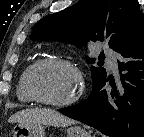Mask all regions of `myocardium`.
Segmentation results:
<instances>
[{
    "instance_id": "obj_1",
    "label": "myocardium",
    "mask_w": 144,
    "mask_h": 137,
    "mask_svg": "<svg viewBox=\"0 0 144 137\" xmlns=\"http://www.w3.org/2000/svg\"><path fill=\"white\" fill-rule=\"evenodd\" d=\"M53 65L69 68L76 74V76L78 78V81H79L78 90L71 98H69L67 100L52 101V100L45 99L35 89L34 78H35L36 73L43 67L53 66ZM26 90H27L28 94L30 95V97L38 103H41V104L47 105V106H51V107H67V106L73 105L81 98V96L84 92V80H83V76H82L80 69L72 62H70L68 60L60 59V58H45V59L38 60L30 68L28 75H27V79H26Z\"/></svg>"
}]
</instances>
